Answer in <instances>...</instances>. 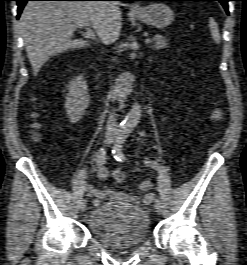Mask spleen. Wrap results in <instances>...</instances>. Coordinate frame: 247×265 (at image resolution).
I'll use <instances>...</instances> for the list:
<instances>
[{
    "instance_id": "3e777b00",
    "label": "spleen",
    "mask_w": 247,
    "mask_h": 265,
    "mask_svg": "<svg viewBox=\"0 0 247 265\" xmlns=\"http://www.w3.org/2000/svg\"><path fill=\"white\" fill-rule=\"evenodd\" d=\"M209 28H210V31H211L212 39L216 43H220L221 37H220V34H219L218 24L216 23V21L213 18L209 19Z\"/></svg>"
}]
</instances>
